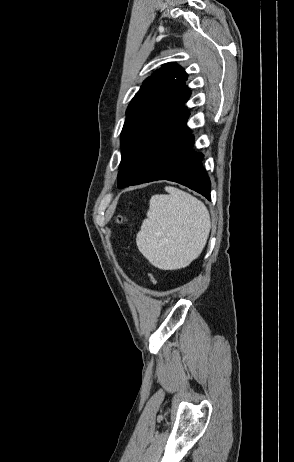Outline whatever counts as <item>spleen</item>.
<instances>
[{
  "label": "spleen",
  "mask_w": 294,
  "mask_h": 462,
  "mask_svg": "<svg viewBox=\"0 0 294 462\" xmlns=\"http://www.w3.org/2000/svg\"><path fill=\"white\" fill-rule=\"evenodd\" d=\"M151 197L136 243L149 262L163 270L188 266L202 252L211 221L203 202L175 187Z\"/></svg>",
  "instance_id": "spleen-1"
}]
</instances>
